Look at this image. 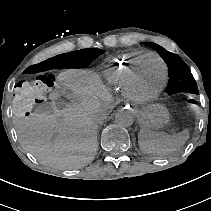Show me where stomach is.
<instances>
[{"instance_id":"stomach-1","label":"stomach","mask_w":211,"mask_h":211,"mask_svg":"<svg viewBox=\"0 0 211 211\" xmlns=\"http://www.w3.org/2000/svg\"><path fill=\"white\" fill-rule=\"evenodd\" d=\"M169 122L168 110L159 104L151 105L141 112L140 123L146 129H159Z\"/></svg>"}]
</instances>
